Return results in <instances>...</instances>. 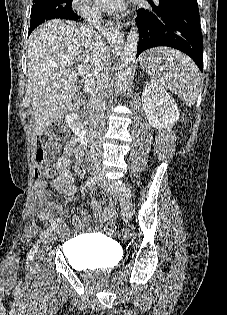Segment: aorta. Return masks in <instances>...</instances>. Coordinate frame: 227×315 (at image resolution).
<instances>
[{"label": "aorta", "instance_id": "obj_1", "mask_svg": "<svg viewBox=\"0 0 227 315\" xmlns=\"http://www.w3.org/2000/svg\"><path fill=\"white\" fill-rule=\"evenodd\" d=\"M106 35L111 49L120 52L115 83L117 89L121 90L127 86L133 73L136 62L139 30L136 26H133L127 35L126 41H124L120 32L114 28L108 29Z\"/></svg>", "mask_w": 227, "mask_h": 315}]
</instances>
